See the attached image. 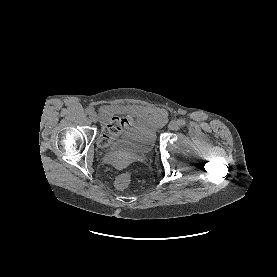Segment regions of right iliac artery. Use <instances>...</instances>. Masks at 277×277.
<instances>
[{
  "mask_svg": "<svg viewBox=\"0 0 277 277\" xmlns=\"http://www.w3.org/2000/svg\"><path fill=\"white\" fill-rule=\"evenodd\" d=\"M85 113H86L87 115H90V114L92 113V110H91L90 108H87V109L85 110Z\"/></svg>",
  "mask_w": 277,
  "mask_h": 277,
  "instance_id": "82829eb1",
  "label": "right iliac artery"
}]
</instances>
